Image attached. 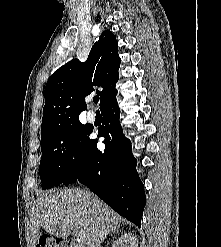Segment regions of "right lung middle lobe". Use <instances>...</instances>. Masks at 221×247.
<instances>
[{
	"instance_id": "1",
	"label": "right lung middle lobe",
	"mask_w": 221,
	"mask_h": 247,
	"mask_svg": "<svg viewBox=\"0 0 221 247\" xmlns=\"http://www.w3.org/2000/svg\"><path fill=\"white\" fill-rule=\"evenodd\" d=\"M91 129L80 122L41 138L40 177L43 189L63 183L85 155Z\"/></svg>"
}]
</instances>
